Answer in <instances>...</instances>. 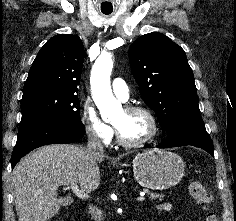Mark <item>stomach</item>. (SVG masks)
<instances>
[{
    "label": "stomach",
    "mask_w": 236,
    "mask_h": 221,
    "mask_svg": "<svg viewBox=\"0 0 236 221\" xmlns=\"http://www.w3.org/2000/svg\"><path fill=\"white\" fill-rule=\"evenodd\" d=\"M182 158L165 150H148L133 160V172L144 188L163 190L175 186L184 175Z\"/></svg>",
    "instance_id": "0dacf381"
}]
</instances>
